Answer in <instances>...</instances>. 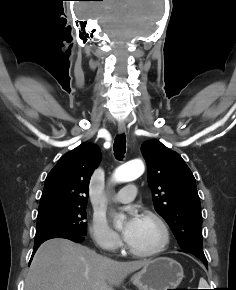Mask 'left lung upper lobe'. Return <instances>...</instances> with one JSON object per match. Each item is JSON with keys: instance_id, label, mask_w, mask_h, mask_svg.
<instances>
[{"instance_id": "1", "label": "left lung upper lobe", "mask_w": 236, "mask_h": 290, "mask_svg": "<svg viewBox=\"0 0 236 290\" xmlns=\"http://www.w3.org/2000/svg\"><path fill=\"white\" fill-rule=\"evenodd\" d=\"M154 208L171 227L183 252L206 260L202 249V217L195 178L182 157L158 140L141 146Z\"/></svg>"}]
</instances>
